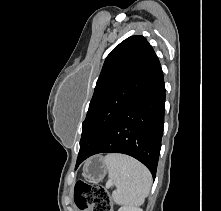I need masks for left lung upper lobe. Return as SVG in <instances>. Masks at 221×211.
<instances>
[{
    "mask_svg": "<svg viewBox=\"0 0 221 211\" xmlns=\"http://www.w3.org/2000/svg\"><path fill=\"white\" fill-rule=\"evenodd\" d=\"M157 60L152 46L143 36H131L109 53L82 124L77 161L105 135L139 92Z\"/></svg>",
    "mask_w": 221,
    "mask_h": 211,
    "instance_id": "left-lung-upper-lobe-1",
    "label": "left lung upper lobe"
}]
</instances>
